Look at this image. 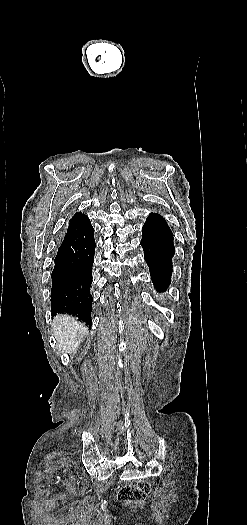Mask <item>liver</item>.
I'll use <instances>...</instances> for the list:
<instances>
[{"instance_id":"liver-1","label":"liver","mask_w":247,"mask_h":525,"mask_svg":"<svg viewBox=\"0 0 247 525\" xmlns=\"http://www.w3.org/2000/svg\"><path fill=\"white\" fill-rule=\"evenodd\" d=\"M51 327L56 347L63 353L61 359L63 363H67L69 361L68 355H76L87 333V327L69 315H56Z\"/></svg>"}]
</instances>
